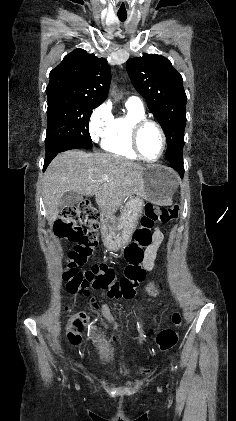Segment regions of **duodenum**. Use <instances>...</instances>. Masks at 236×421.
Here are the masks:
<instances>
[{
  "label": "duodenum",
  "mask_w": 236,
  "mask_h": 421,
  "mask_svg": "<svg viewBox=\"0 0 236 421\" xmlns=\"http://www.w3.org/2000/svg\"><path fill=\"white\" fill-rule=\"evenodd\" d=\"M81 209L83 210L84 213H86L88 215H92L96 211V208L94 207V205L89 201H84L81 204Z\"/></svg>",
  "instance_id": "1"
}]
</instances>
